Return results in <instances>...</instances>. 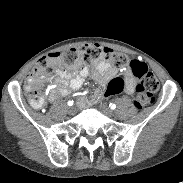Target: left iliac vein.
<instances>
[{
  "instance_id": "4c4485c4",
  "label": "left iliac vein",
  "mask_w": 183,
  "mask_h": 183,
  "mask_svg": "<svg viewBox=\"0 0 183 183\" xmlns=\"http://www.w3.org/2000/svg\"><path fill=\"white\" fill-rule=\"evenodd\" d=\"M100 110L103 114H105L108 117H112L114 115V111L111 110L108 106L106 105H101Z\"/></svg>"
}]
</instances>
